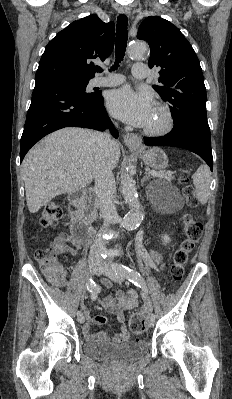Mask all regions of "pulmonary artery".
Wrapping results in <instances>:
<instances>
[{
  "instance_id": "1",
  "label": "pulmonary artery",
  "mask_w": 232,
  "mask_h": 399,
  "mask_svg": "<svg viewBox=\"0 0 232 399\" xmlns=\"http://www.w3.org/2000/svg\"><path fill=\"white\" fill-rule=\"evenodd\" d=\"M133 68L134 69H132L131 74L134 76L135 80H143L148 74L147 69H144V63H134ZM128 82V77H122V75L115 73L113 77H111V75H107L105 80L102 77H95L92 80V86L113 88V86L116 84H128Z\"/></svg>"
}]
</instances>
